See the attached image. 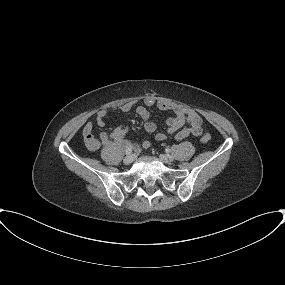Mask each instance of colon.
I'll use <instances>...</instances> for the list:
<instances>
[{"label":"colon","mask_w":285,"mask_h":285,"mask_svg":"<svg viewBox=\"0 0 285 285\" xmlns=\"http://www.w3.org/2000/svg\"><path fill=\"white\" fill-rule=\"evenodd\" d=\"M210 139H211V137H210L209 134H204V135L202 136V138H201V141H202L203 143H207V142L210 141Z\"/></svg>","instance_id":"1"}]
</instances>
